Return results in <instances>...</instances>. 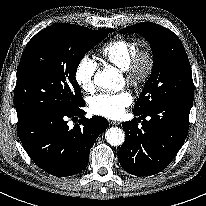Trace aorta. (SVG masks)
I'll return each instance as SVG.
<instances>
[{"label":"aorta","instance_id":"obj_1","mask_svg":"<svg viewBox=\"0 0 206 206\" xmlns=\"http://www.w3.org/2000/svg\"><path fill=\"white\" fill-rule=\"evenodd\" d=\"M118 71L114 68L104 69L99 71L94 76V83L103 89H114L119 82ZM107 142L112 146H119L125 140V134L118 127H111L105 133Z\"/></svg>","mask_w":206,"mask_h":206}]
</instances>
